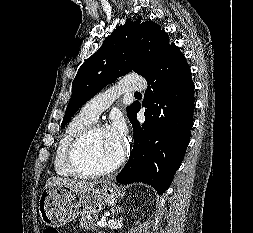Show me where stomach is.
I'll return each instance as SVG.
<instances>
[{
	"label": "stomach",
	"instance_id": "stomach-1",
	"mask_svg": "<svg viewBox=\"0 0 253 233\" xmlns=\"http://www.w3.org/2000/svg\"><path fill=\"white\" fill-rule=\"evenodd\" d=\"M117 193V188L110 183L83 192L65 186L45 187L39 199L41 221L50 227L63 226L79 215L98 213L104 203L114 205Z\"/></svg>",
	"mask_w": 253,
	"mask_h": 233
}]
</instances>
